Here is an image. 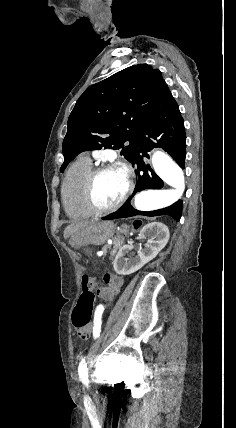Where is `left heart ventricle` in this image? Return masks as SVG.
Segmentation results:
<instances>
[{
  "label": "left heart ventricle",
  "instance_id": "b2bd125f",
  "mask_svg": "<svg viewBox=\"0 0 236 428\" xmlns=\"http://www.w3.org/2000/svg\"><path fill=\"white\" fill-rule=\"evenodd\" d=\"M128 185L126 174L119 169H112L101 174L94 186V194L102 205L118 202L126 192Z\"/></svg>",
  "mask_w": 236,
  "mask_h": 428
}]
</instances>
